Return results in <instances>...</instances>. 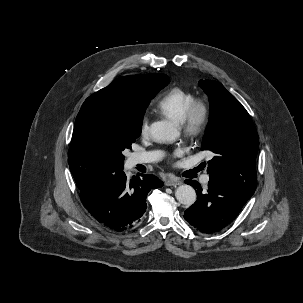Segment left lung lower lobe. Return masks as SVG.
<instances>
[{
  "label": "left lung lower lobe",
  "mask_w": 303,
  "mask_h": 303,
  "mask_svg": "<svg viewBox=\"0 0 303 303\" xmlns=\"http://www.w3.org/2000/svg\"><path fill=\"white\" fill-rule=\"evenodd\" d=\"M185 183L197 190V201L185 211L184 218L202 233H213L226 227L251 198L216 175H210L206 193L197 181L186 180Z\"/></svg>",
  "instance_id": "0a47b994"
}]
</instances>
